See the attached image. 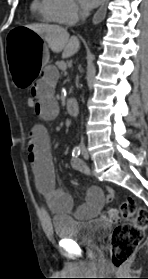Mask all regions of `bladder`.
Wrapping results in <instances>:
<instances>
[{"mask_svg": "<svg viewBox=\"0 0 148 279\" xmlns=\"http://www.w3.org/2000/svg\"><path fill=\"white\" fill-rule=\"evenodd\" d=\"M52 225L58 238L92 247L106 238L109 225L100 220L78 221L70 216H56Z\"/></svg>", "mask_w": 148, "mask_h": 279, "instance_id": "1", "label": "bladder"}]
</instances>
